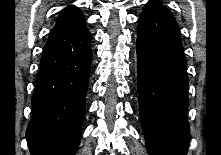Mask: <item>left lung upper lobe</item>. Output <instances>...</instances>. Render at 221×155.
I'll list each match as a JSON object with an SVG mask.
<instances>
[{"label":"left lung upper lobe","mask_w":221,"mask_h":155,"mask_svg":"<svg viewBox=\"0 0 221 155\" xmlns=\"http://www.w3.org/2000/svg\"><path fill=\"white\" fill-rule=\"evenodd\" d=\"M149 3H159V4L163 5L162 3H160V2H158L156 0H151V1H149Z\"/></svg>","instance_id":"left-lung-upper-lobe-1"}]
</instances>
